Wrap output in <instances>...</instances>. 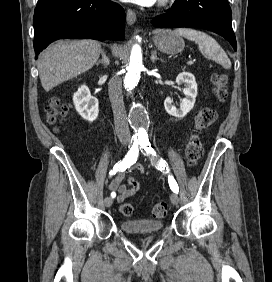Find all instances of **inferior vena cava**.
Masks as SVG:
<instances>
[{
	"instance_id": "602c4592",
	"label": "inferior vena cava",
	"mask_w": 272,
	"mask_h": 282,
	"mask_svg": "<svg viewBox=\"0 0 272 282\" xmlns=\"http://www.w3.org/2000/svg\"><path fill=\"white\" fill-rule=\"evenodd\" d=\"M108 93L114 115L116 134L120 141L130 140V131L122 95V82L118 77L110 79Z\"/></svg>"
}]
</instances>
